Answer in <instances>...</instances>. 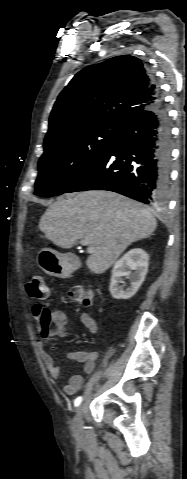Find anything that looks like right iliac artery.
<instances>
[{
  "mask_svg": "<svg viewBox=\"0 0 187 479\" xmlns=\"http://www.w3.org/2000/svg\"><path fill=\"white\" fill-rule=\"evenodd\" d=\"M81 402H82V397L81 396L77 397L74 401L75 407L79 406Z\"/></svg>",
  "mask_w": 187,
  "mask_h": 479,
  "instance_id": "1",
  "label": "right iliac artery"
}]
</instances>
